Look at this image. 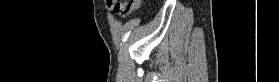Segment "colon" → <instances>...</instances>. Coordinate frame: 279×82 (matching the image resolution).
<instances>
[{"label": "colon", "mask_w": 279, "mask_h": 82, "mask_svg": "<svg viewBox=\"0 0 279 82\" xmlns=\"http://www.w3.org/2000/svg\"><path fill=\"white\" fill-rule=\"evenodd\" d=\"M114 4H125L128 6H139L141 4L140 0H128V1H115V0H110Z\"/></svg>", "instance_id": "1"}]
</instances>
